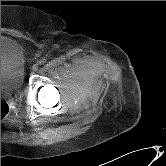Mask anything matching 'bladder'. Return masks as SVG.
Here are the masks:
<instances>
[{"label":"bladder","mask_w":166,"mask_h":166,"mask_svg":"<svg viewBox=\"0 0 166 166\" xmlns=\"http://www.w3.org/2000/svg\"><path fill=\"white\" fill-rule=\"evenodd\" d=\"M25 76L24 56L14 39L1 36V91L19 89Z\"/></svg>","instance_id":"31cf9c89"}]
</instances>
